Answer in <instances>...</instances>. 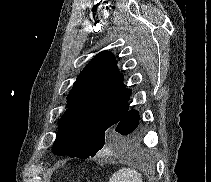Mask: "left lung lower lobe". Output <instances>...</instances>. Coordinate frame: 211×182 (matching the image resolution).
<instances>
[{"mask_svg": "<svg viewBox=\"0 0 211 182\" xmlns=\"http://www.w3.org/2000/svg\"><path fill=\"white\" fill-rule=\"evenodd\" d=\"M139 125V112L130 109L115 126L109 142L117 147H124L130 143V138Z\"/></svg>", "mask_w": 211, "mask_h": 182, "instance_id": "0a47b994", "label": "left lung lower lobe"}]
</instances>
